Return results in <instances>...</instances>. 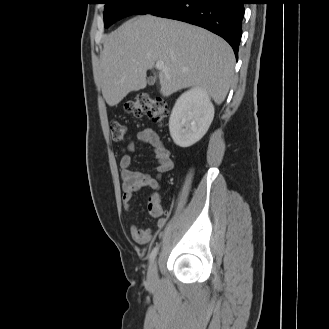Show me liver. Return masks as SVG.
<instances>
[{
	"mask_svg": "<svg viewBox=\"0 0 329 329\" xmlns=\"http://www.w3.org/2000/svg\"><path fill=\"white\" fill-rule=\"evenodd\" d=\"M157 61L168 71L155 74L160 93L196 87L220 105L230 88L235 56L219 36L188 23L137 16L107 35L101 54V89L109 106L146 86V72Z\"/></svg>",
	"mask_w": 329,
	"mask_h": 329,
	"instance_id": "obj_1",
	"label": "liver"
}]
</instances>
